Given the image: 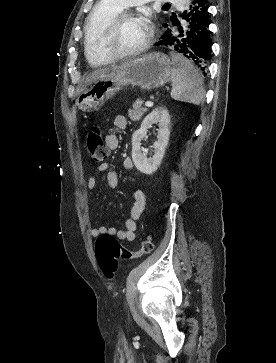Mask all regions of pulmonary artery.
<instances>
[{
	"instance_id": "pulmonary-artery-1",
	"label": "pulmonary artery",
	"mask_w": 276,
	"mask_h": 363,
	"mask_svg": "<svg viewBox=\"0 0 276 363\" xmlns=\"http://www.w3.org/2000/svg\"><path fill=\"white\" fill-rule=\"evenodd\" d=\"M110 1L114 2L119 8L123 9L129 6L143 4L150 0H110ZM157 1L169 2L173 0H157ZM177 1H179L178 3H183L185 0H177Z\"/></svg>"
}]
</instances>
